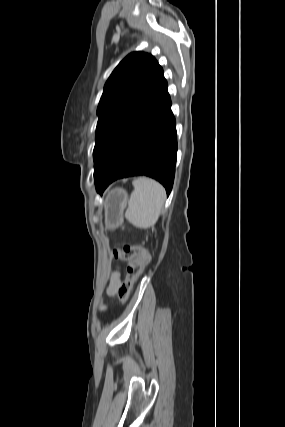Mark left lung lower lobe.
Masks as SVG:
<instances>
[{
    "label": "left lung lower lobe",
    "instance_id": "1",
    "mask_svg": "<svg viewBox=\"0 0 285 427\" xmlns=\"http://www.w3.org/2000/svg\"><path fill=\"white\" fill-rule=\"evenodd\" d=\"M166 80L150 104L134 119L114 146L94 164L96 190L102 194L114 180L146 175L171 192L176 163L175 119Z\"/></svg>",
    "mask_w": 285,
    "mask_h": 427
}]
</instances>
